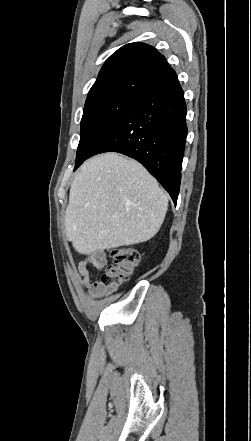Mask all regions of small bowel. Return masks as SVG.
<instances>
[{
  "label": "small bowel",
  "mask_w": 251,
  "mask_h": 441,
  "mask_svg": "<svg viewBox=\"0 0 251 441\" xmlns=\"http://www.w3.org/2000/svg\"><path fill=\"white\" fill-rule=\"evenodd\" d=\"M107 260L104 254L95 253L86 257H83L77 262V273L79 276L80 284L86 289L87 293L91 297L100 298L112 293L116 287L106 286L101 281L91 282L88 265L92 264L98 269H102Z\"/></svg>",
  "instance_id": "small-bowel-1"
}]
</instances>
